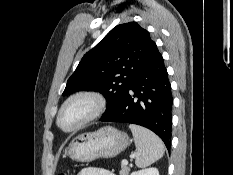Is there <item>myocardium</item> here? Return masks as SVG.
I'll return each instance as SVG.
<instances>
[{
  "label": "myocardium",
  "instance_id": "obj_1",
  "mask_svg": "<svg viewBox=\"0 0 233 175\" xmlns=\"http://www.w3.org/2000/svg\"><path fill=\"white\" fill-rule=\"evenodd\" d=\"M81 99L88 100L92 103V109L90 113L87 116H85L83 119H81L78 123H76L75 125L68 127V128L63 127L61 124L62 114L73 102L77 100H81ZM106 107H107V100L105 96L99 91L81 90V91L74 92L71 95H69L61 104L58 110V113H57L56 124L58 128H60L64 132H72V131L78 130L84 125L88 124L89 122L100 117L106 110Z\"/></svg>",
  "mask_w": 233,
  "mask_h": 175
}]
</instances>
